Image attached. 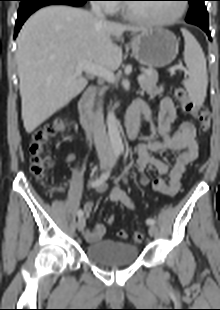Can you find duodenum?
Returning a JSON list of instances; mask_svg holds the SVG:
<instances>
[{
	"mask_svg": "<svg viewBox=\"0 0 220 310\" xmlns=\"http://www.w3.org/2000/svg\"><path fill=\"white\" fill-rule=\"evenodd\" d=\"M96 96V89L89 87L82 95L78 103L80 122L87 135H91L97 126V119L93 112V102ZM139 112L128 110L125 133L128 139L133 140L138 133Z\"/></svg>",
	"mask_w": 220,
	"mask_h": 310,
	"instance_id": "obj_1",
	"label": "duodenum"
}]
</instances>
